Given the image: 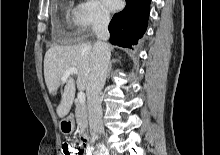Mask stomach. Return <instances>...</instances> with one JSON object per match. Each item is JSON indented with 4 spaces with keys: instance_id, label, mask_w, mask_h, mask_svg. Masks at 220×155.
<instances>
[{
    "instance_id": "1",
    "label": "stomach",
    "mask_w": 220,
    "mask_h": 155,
    "mask_svg": "<svg viewBox=\"0 0 220 155\" xmlns=\"http://www.w3.org/2000/svg\"><path fill=\"white\" fill-rule=\"evenodd\" d=\"M75 122L72 117L64 118L59 123V129L64 135H69L74 131Z\"/></svg>"
}]
</instances>
